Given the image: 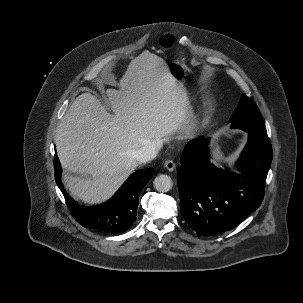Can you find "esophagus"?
Returning <instances> with one entry per match:
<instances>
[{
  "label": "esophagus",
  "instance_id": "1",
  "mask_svg": "<svg viewBox=\"0 0 303 303\" xmlns=\"http://www.w3.org/2000/svg\"><path fill=\"white\" fill-rule=\"evenodd\" d=\"M164 166L168 171H174L176 169V164L173 160H167Z\"/></svg>",
  "mask_w": 303,
  "mask_h": 303
}]
</instances>
